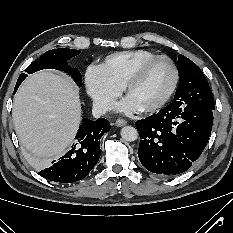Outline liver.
<instances>
[{"label": "liver", "mask_w": 233, "mask_h": 233, "mask_svg": "<svg viewBox=\"0 0 233 233\" xmlns=\"http://www.w3.org/2000/svg\"><path fill=\"white\" fill-rule=\"evenodd\" d=\"M12 117L20 143L34 156H60L80 125L79 92L63 75L37 72L19 88Z\"/></svg>", "instance_id": "liver-1"}]
</instances>
